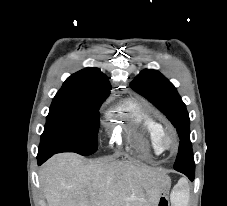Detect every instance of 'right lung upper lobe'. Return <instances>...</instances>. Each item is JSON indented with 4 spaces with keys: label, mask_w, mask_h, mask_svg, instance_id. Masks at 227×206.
<instances>
[{
    "label": "right lung upper lobe",
    "mask_w": 227,
    "mask_h": 206,
    "mask_svg": "<svg viewBox=\"0 0 227 206\" xmlns=\"http://www.w3.org/2000/svg\"><path fill=\"white\" fill-rule=\"evenodd\" d=\"M110 89L108 78L98 68H85L68 77L57 94L107 97Z\"/></svg>",
    "instance_id": "right-lung-upper-lobe-1"
}]
</instances>
